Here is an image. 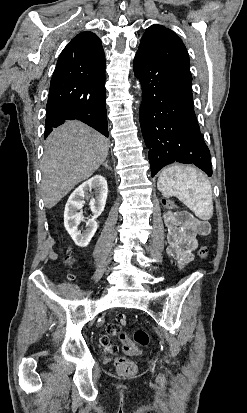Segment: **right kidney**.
<instances>
[{"mask_svg":"<svg viewBox=\"0 0 247 413\" xmlns=\"http://www.w3.org/2000/svg\"><path fill=\"white\" fill-rule=\"evenodd\" d=\"M92 188L95 190V198H92L89 204L93 217L86 221L87 229L81 233L79 223H81L82 219L78 211L83 207L84 200L82 198H84L87 190H92ZM107 194L108 184L105 176H102V174H95L92 178H88L70 194L65 204L64 227L78 247H87L93 235H95L98 227L96 219L104 211Z\"/></svg>","mask_w":247,"mask_h":413,"instance_id":"right-kidney-1","label":"right kidney"}]
</instances>
